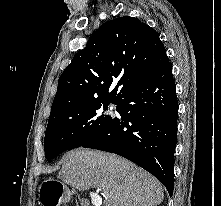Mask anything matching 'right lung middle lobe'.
Here are the masks:
<instances>
[{"label":"right lung middle lobe","mask_w":221,"mask_h":206,"mask_svg":"<svg viewBox=\"0 0 221 206\" xmlns=\"http://www.w3.org/2000/svg\"><path fill=\"white\" fill-rule=\"evenodd\" d=\"M108 105L105 102L86 104L50 115L44 139L48 162L63 151L82 146L107 126L113 117L102 108L105 111Z\"/></svg>","instance_id":"right-lung-middle-lobe-1"}]
</instances>
